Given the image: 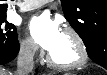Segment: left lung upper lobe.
I'll return each mask as SVG.
<instances>
[{"mask_svg":"<svg viewBox=\"0 0 107 75\" xmlns=\"http://www.w3.org/2000/svg\"><path fill=\"white\" fill-rule=\"evenodd\" d=\"M66 20L82 38L88 54L107 45V0H61Z\"/></svg>","mask_w":107,"mask_h":75,"instance_id":"1","label":"left lung upper lobe"}]
</instances>
